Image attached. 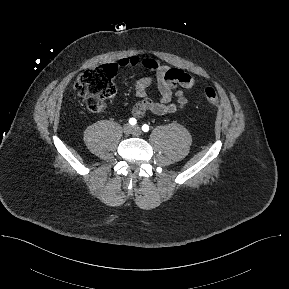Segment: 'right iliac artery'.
<instances>
[{
    "mask_svg": "<svg viewBox=\"0 0 289 289\" xmlns=\"http://www.w3.org/2000/svg\"><path fill=\"white\" fill-rule=\"evenodd\" d=\"M137 123V120L135 118H130L129 119V124L130 125H135Z\"/></svg>",
    "mask_w": 289,
    "mask_h": 289,
    "instance_id": "82829eb1",
    "label": "right iliac artery"
}]
</instances>
